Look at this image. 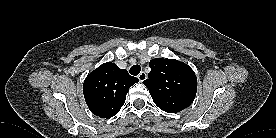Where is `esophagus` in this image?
<instances>
[{"mask_svg": "<svg viewBox=\"0 0 276 138\" xmlns=\"http://www.w3.org/2000/svg\"><path fill=\"white\" fill-rule=\"evenodd\" d=\"M147 78V74L142 71L139 75H138V79L140 82H143L145 79Z\"/></svg>", "mask_w": 276, "mask_h": 138, "instance_id": "1", "label": "esophagus"}]
</instances>
